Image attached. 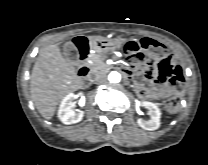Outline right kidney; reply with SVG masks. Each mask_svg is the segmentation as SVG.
<instances>
[{
    "label": "right kidney",
    "mask_w": 208,
    "mask_h": 165,
    "mask_svg": "<svg viewBox=\"0 0 208 165\" xmlns=\"http://www.w3.org/2000/svg\"><path fill=\"white\" fill-rule=\"evenodd\" d=\"M74 100L75 95L73 93H69L64 97L59 106L58 117L61 122L66 125L78 123L84 116L83 111L74 109Z\"/></svg>",
    "instance_id": "1"
}]
</instances>
